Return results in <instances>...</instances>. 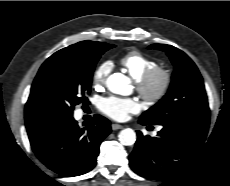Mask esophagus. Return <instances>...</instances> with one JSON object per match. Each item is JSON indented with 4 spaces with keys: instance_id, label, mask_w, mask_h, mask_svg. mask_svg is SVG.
Listing matches in <instances>:
<instances>
[{
    "instance_id": "1",
    "label": "esophagus",
    "mask_w": 230,
    "mask_h": 186,
    "mask_svg": "<svg viewBox=\"0 0 230 186\" xmlns=\"http://www.w3.org/2000/svg\"><path fill=\"white\" fill-rule=\"evenodd\" d=\"M111 127H112L113 130H119V129H122V128H123L122 125L117 124V123L112 124Z\"/></svg>"
}]
</instances>
